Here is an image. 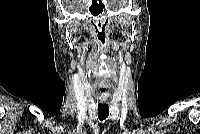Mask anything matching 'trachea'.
Here are the masks:
<instances>
[{"label": "trachea", "mask_w": 200, "mask_h": 134, "mask_svg": "<svg viewBox=\"0 0 200 134\" xmlns=\"http://www.w3.org/2000/svg\"><path fill=\"white\" fill-rule=\"evenodd\" d=\"M109 115V106L107 104H98V118L103 121Z\"/></svg>", "instance_id": "obj_1"}]
</instances>
